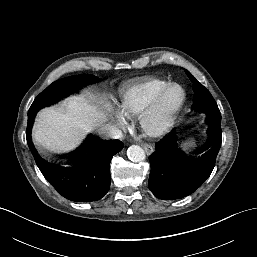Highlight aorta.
Instances as JSON below:
<instances>
[{"label": "aorta", "mask_w": 257, "mask_h": 257, "mask_svg": "<svg viewBox=\"0 0 257 257\" xmlns=\"http://www.w3.org/2000/svg\"><path fill=\"white\" fill-rule=\"evenodd\" d=\"M127 156L133 162H141L146 157L144 150L138 145L130 146L127 150Z\"/></svg>", "instance_id": "aorta-1"}]
</instances>
